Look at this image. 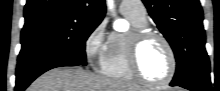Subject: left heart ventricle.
<instances>
[{
  "label": "left heart ventricle",
  "instance_id": "left-heart-ventricle-1",
  "mask_svg": "<svg viewBox=\"0 0 220 91\" xmlns=\"http://www.w3.org/2000/svg\"><path fill=\"white\" fill-rule=\"evenodd\" d=\"M142 74L151 81H161L170 71V57L164 44L156 38L146 41L139 53Z\"/></svg>",
  "mask_w": 220,
  "mask_h": 91
}]
</instances>
